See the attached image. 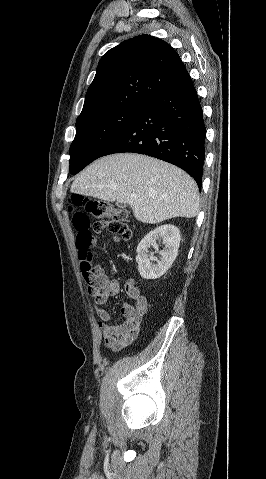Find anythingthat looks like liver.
Masks as SVG:
<instances>
[{"label":"liver","instance_id":"1","mask_svg":"<svg viewBox=\"0 0 266 479\" xmlns=\"http://www.w3.org/2000/svg\"><path fill=\"white\" fill-rule=\"evenodd\" d=\"M70 191L127 203L134 217L147 224L193 218L199 212L198 187L186 172L140 154L119 153L94 161L75 178Z\"/></svg>","mask_w":266,"mask_h":479}]
</instances>
